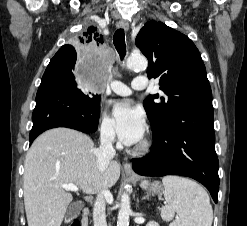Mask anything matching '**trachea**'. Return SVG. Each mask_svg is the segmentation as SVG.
I'll return each instance as SVG.
<instances>
[{"instance_id":"trachea-1","label":"trachea","mask_w":247,"mask_h":226,"mask_svg":"<svg viewBox=\"0 0 247 226\" xmlns=\"http://www.w3.org/2000/svg\"><path fill=\"white\" fill-rule=\"evenodd\" d=\"M113 43L120 55V58L123 59L126 55V44H125V33L123 29H118L113 36Z\"/></svg>"}]
</instances>
